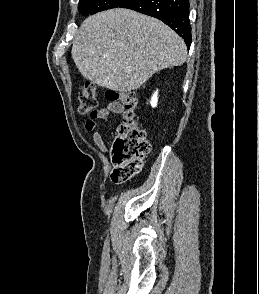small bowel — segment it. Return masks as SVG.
Wrapping results in <instances>:
<instances>
[{
    "label": "small bowel",
    "instance_id": "c3829d8e",
    "mask_svg": "<svg viewBox=\"0 0 259 294\" xmlns=\"http://www.w3.org/2000/svg\"><path fill=\"white\" fill-rule=\"evenodd\" d=\"M123 109L119 101H110L105 107L96 110V112L87 119L85 129L92 132L93 142L100 150L105 151L107 149V144L102 134L97 130L98 122L106 121L111 115L121 113Z\"/></svg>",
    "mask_w": 259,
    "mask_h": 294
}]
</instances>
